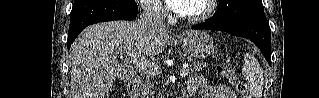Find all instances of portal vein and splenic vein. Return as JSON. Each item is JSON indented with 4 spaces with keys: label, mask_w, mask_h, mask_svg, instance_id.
<instances>
[{
    "label": "portal vein and splenic vein",
    "mask_w": 319,
    "mask_h": 98,
    "mask_svg": "<svg viewBox=\"0 0 319 98\" xmlns=\"http://www.w3.org/2000/svg\"><path fill=\"white\" fill-rule=\"evenodd\" d=\"M118 54L123 55L126 54L130 56L133 64H135L138 68L148 72L149 74H156L158 72V66L154 65L153 63L149 62L145 58L141 56L138 52H118ZM189 73L188 66H183V69L180 71V76L186 77Z\"/></svg>",
    "instance_id": "obj_1"
}]
</instances>
